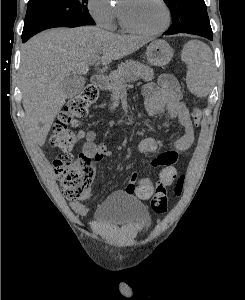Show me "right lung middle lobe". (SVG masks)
<instances>
[{
    "instance_id": "obj_1",
    "label": "right lung middle lobe",
    "mask_w": 245,
    "mask_h": 300,
    "mask_svg": "<svg viewBox=\"0 0 245 300\" xmlns=\"http://www.w3.org/2000/svg\"><path fill=\"white\" fill-rule=\"evenodd\" d=\"M87 0H29L22 37L53 27L94 25Z\"/></svg>"
}]
</instances>
